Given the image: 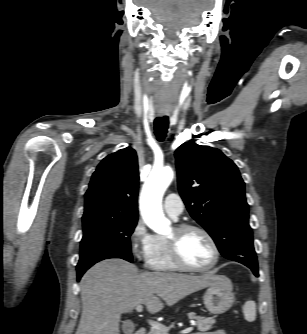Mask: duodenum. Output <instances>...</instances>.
<instances>
[{
	"mask_svg": "<svg viewBox=\"0 0 307 334\" xmlns=\"http://www.w3.org/2000/svg\"><path fill=\"white\" fill-rule=\"evenodd\" d=\"M135 334H147V330L144 327H140L136 330Z\"/></svg>",
	"mask_w": 307,
	"mask_h": 334,
	"instance_id": "obj_1",
	"label": "duodenum"
}]
</instances>
